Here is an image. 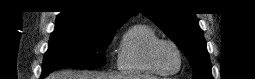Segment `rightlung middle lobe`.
<instances>
[{
  "instance_id": "right-lung-middle-lobe-1",
  "label": "right lung middle lobe",
  "mask_w": 255,
  "mask_h": 79,
  "mask_svg": "<svg viewBox=\"0 0 255 79\" xmlns=\"http://www.w3.org/2000/svg\"><path fill=\"white\" fill-rule=\"evenodd\" d=\"M114 31L56 26L45 53L42 75L64 67L98 68L106 64L104 51Z\"/></svg>"
}]
</instances>
